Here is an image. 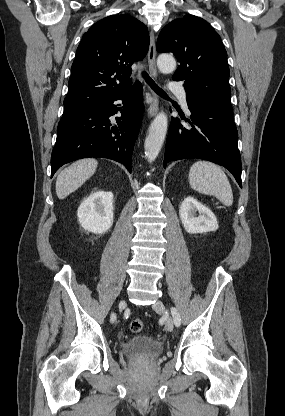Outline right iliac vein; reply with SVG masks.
Masks as SVG:
<instances>
[{
  "instance_id": "right-iliac-vein-1",
  "label": "right iliac vein",
  "mask_w": 285,
  "mask_h": 416,
  "mask_svg": "<svg viewBox=\"0 0 285 416\" xmlns=\"http://www.w3.org/2000/svg\"><path fill=\"white\" fill-rule=\"evenodd\" d=\"M125 305L126 301L124 299H121L118 305L120 312L124 309Z\"/></svg>"
}]
</instances>
